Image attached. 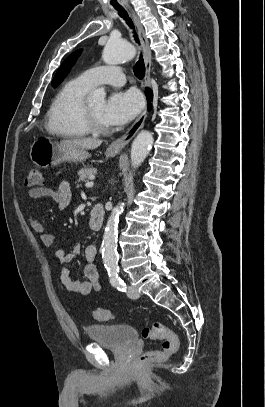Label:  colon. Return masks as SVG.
<instances>
[{
  "instance_id": "5ec220e1",
  "label": "colon",
  "mask_w": 265,
  "mask_h": 407,
  "mask_svg": "<svg viewBox=\"0 0 265 407\" xmlns=\"http://www.w3.org/2000/svg\"><path fill=\"white\" fill-rule=\"evenodd\" d=\"M43 182L41 170L33 166L28 170L26 177V185L28 187H36ZM93 316L98 321H112L114 314L106 309L97 308L93 311ZM142 336L145 339L161 340L162 345L159 350L146 352L141 355V364L163 361L177 353L179 348V339L177 334L168 328L165 324L159 321L153 322L150 326L142 330Z\"/></svg>"
}]
</instances>
